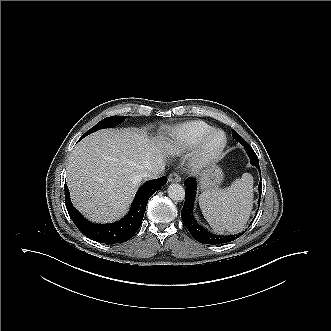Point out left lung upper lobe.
<instances>
[{"instance_id": "obj_1", "label": "left lung upper lobe", "mask_w": 331, "mask_h": 331, "mask_svg": "<svg viewBox=\"0 0 331 331\" xmlns=\"http://www.w3.org/2000/svg\"><path fill=\"white\" fill-rule=\"evenodd\" d=\"M232 136H239L241 137L236 131L232 130ZM247 153L250 157V160L253 162V163H259L258 162V158L255 154V152L253 151V149L250 147L248 150H247Z\"/></svg>"}]
</instances>
